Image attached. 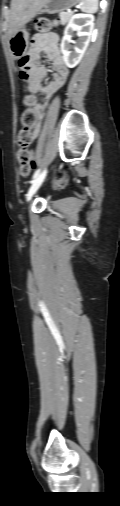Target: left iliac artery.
Returning a JSON list of instances; mask_svg holds the SVG:
<instances>
[{"instance_id":"obj_1","label":"left iliac artery","mask_w":120,"mask_h":506,"mask_svg":"<svg viewBox=\"0 0 120 506\" xmlns=\"http://www.w3.org/2000/svg\"><path fill=\"white\" fill-rule=\"evenodd\" d=\"M40 174V169H37L35 173L33 174L32 179L34 180L38 175ZM33 180L31 182H33Z\"/></svg>"}]
</instances>
